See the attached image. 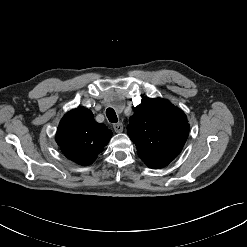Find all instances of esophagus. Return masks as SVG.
I'll return each mask as SVG.
<instances>
[{
	"mask_svg": "<svg viewBox=\"0 0 247 247\" xmlns=\"http://www.w3.org/2000/svg\"><path fill=\"white\" fill-rule=\"evenodd\" d=\"M113 128L116 133H121L123 131V124L121 122L113 124Z\"/></svg>",
	"mask_w": 247,
	"mask_h": 247,
	"instance_id": "esophagus-1",
	"label": "esophagus"
}]
</instances>
